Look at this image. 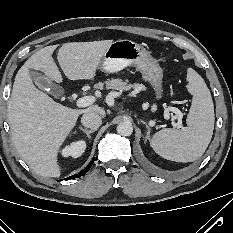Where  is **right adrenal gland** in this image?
<instances>
[{"mask_svg":"<svg viewBox=\"0 0 233 233\" xmlns=\"http://www.w3.org/2000/svg\"><path fill=\"white\" fill-rule=\"evenodd\" d=\"M79 129H80L82 132H84V133L87 135V137H88L89 139L91 138L90 134L93 133V132H95V130H87V129H84L83 127H79Z\"/></svg>","mask_w":233,"mask_h":233,"instance_id":"1","label":"right adrenal gland"}]
</instances>
